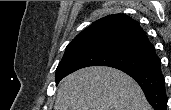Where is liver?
I'll list each match as a JSON object with an SVG mask.
<instances>
[{
  "mask_svg": "<svg viewBox=\"0 0 171 110\" xmlns=\"http://www.w3.org/2000/svg\"><path fill=\"white\" fill-rule=\"evenodd\" d=\"M54 110H152L140 86L120 70L94 66L61 82Z\"/></svg>",
  "mask_w": 171,
  "mask_h": 110,
  "instance_id": "1",
  "label": "liver"
}]
</instances>
